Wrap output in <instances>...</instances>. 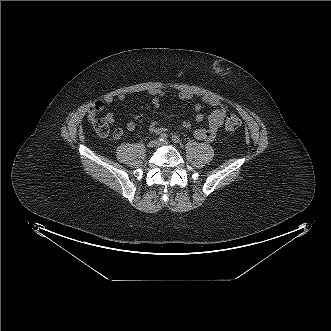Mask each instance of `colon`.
I'll list each match as a JSON object with an SVG mask.
<instances>
[{
    "instance_id": "1",
    "label": "colon",
    "mask_w": 331,
    "mask_h": 331,
    "mask_svg": "<svg viewBox=\"0 0 331 331\" xmlns=\"http://www.w3.org/2000/svg\"><path fill=\"white\" fill-rule=\"evenodd\" d=\"M90 122L94 126L97 134L101 137H107L109 136V126L107 125L106 122L97 119L96 116L90 117ZM241 125L240 119L234 115L230 114L227 116L226 121H225V126L228 130L234 131L237 130Z\"/></svg>"
}]
</instances>
